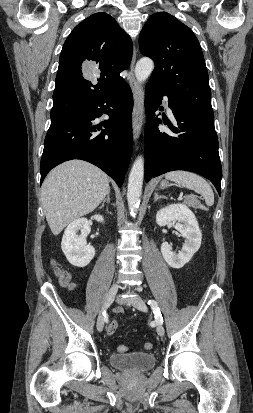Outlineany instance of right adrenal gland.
<instances>
[{
  "mask_svg": "<svg viewBox=\"0 0 253 413\" xmlns=\"http://www.w3.org/2000/svg\"><path fill=\"white\" fill-rule=\"evenodd\" d=\"M105 202L110 203V191L107 193L106 198L103 200L101 206L99 207L100 209L104 207Z\"/></svg>",
  "mask_w": 253,
  "mask_h": 413,
  "instance_id": "right-adrenal-gland-1",
  "label": "right adrenal gland"
}]
</instances>
